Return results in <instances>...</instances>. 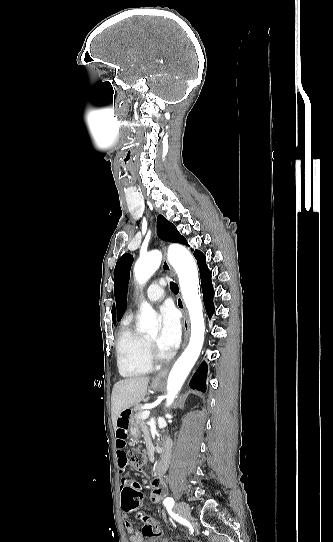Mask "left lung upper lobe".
<instances>
[{
	"instance_id": "5c2ea615",
	"label": "left lung upper lobe",
	"mask_w": 333,
	"mask_h": 542,
	"mask_svg": "<svg viewBox=\"0 0 333 542\" xmlns=\"http://www.w3.org/2000/svg\"><path fill=\"white\" fill-rule=\"evenodd\" d=\"M158 237L167 242H178L188 245L186 239L180 235L176 227L166 220L162 215L157 217ZM133 263V257L130 254L121 256L115 266L114 271V294L117 304V320L120 321L124 314L127 304V289L130 268Z\"/></svg>"
}]
</instances>
